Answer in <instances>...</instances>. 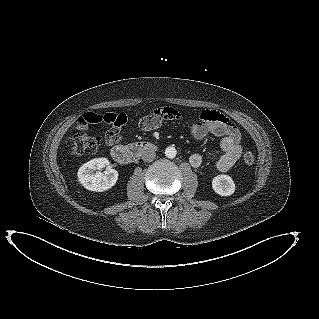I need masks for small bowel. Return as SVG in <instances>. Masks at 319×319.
Listing matches in <instances>:
<instances>
[{
	"instance_id": "c3829d8e",
	"label": "small bowel",
	"mask_w": 319,
	"mask_h": 319,
	"mask_svg": "<svg viewBox=\"0 0 319 319\" xmlns=\"http://www.w3.org/2000/svg\"><path fill=\"white\" fill-rule=\"evenodd\" d=\"M181 113L172 107H159L153 109L139 121V126L144 131L159 128L164 121L175 122L180 120ZM103 121V117L96 113L88 112L79 121L78 128L83 129L88 124H96ZM191 135L202 140L209 134L220 138L221 155L216 162V167L221 172H226L234 166L242 153L241 133L237 126L225 115L215 110H204L199 120L189 125ZM123 139V133L119 127H113L105 135L108 145L119 143ZM205 157L200 153H194L189 158L192 167H200Z\"/></svg>"
}]
</instances>
